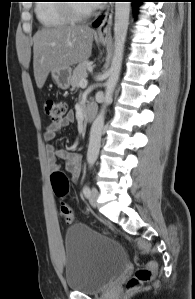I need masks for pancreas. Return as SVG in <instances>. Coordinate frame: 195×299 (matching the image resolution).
<instances>
[{"instance_id": "cf45deb5", "label": "pancreas", "mask_w": 195, "mask_h": 299, "mask_svg": "<svg viewBox=\"0 0 195 299\" xmlns=\"http://www.w3.org/2000/svg\"><path fill=\"white\" fill-rule=\"evenodd\" d=\"M90 67L89 61H83L77 65L72 74L71 85L73 88L80 86V81L87 77V70Z\"/></svg>"}]
</instances>
